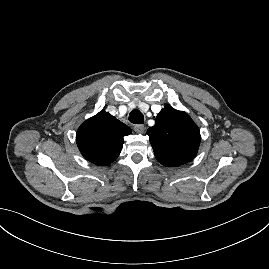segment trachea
Listing matches in <instances>:
<instances>
[{
    "instance_id": "obj_1",
    "label": "trachea",
    "mask_w": 269,
    "mask_h": 269,
    "mask_svg": "<svg viewBox=\"0 0 269 269\" xmlns=\"http://www.w3.org/2000/svg\"><path fill=\"white\" fill-rule=\"evenodd\" d=\"M129 121L133 124H143L144 116L138 109H135L130 112Z\"/></svg>"
}]
</instances>
